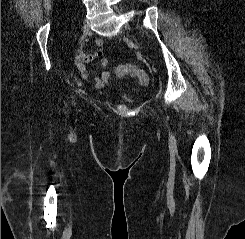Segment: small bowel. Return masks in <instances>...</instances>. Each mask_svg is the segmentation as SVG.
Returning <instances> with one entry per match:
<instances>
[{
    "label": "small bowel",
    "mask_w": 245,
    "mask_h": 239,
    "mask_svg": "<svg viewBox=\"0 0 245 239\" xmlns=\"http://www.w3.org/2000/svg\"><path fill=\"white\" fill-rule=\"evenodd\" d=\"M103 51V40L97 39L95 41V48L92 52L86 53L84 51H77L74 57V64L81 74L83 79H92L94 87L96 89H101L107 86L113 79V74L111 71L107 70V66L109 65V59L106 57L101 58L99 67H100V74L97 76H93L88 67L86 66L87 63L93 61L96 58H100L102 56Z\"/></svg>",
    "instance_id": "c3829d8e"
}]
</instances>
